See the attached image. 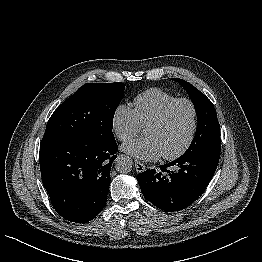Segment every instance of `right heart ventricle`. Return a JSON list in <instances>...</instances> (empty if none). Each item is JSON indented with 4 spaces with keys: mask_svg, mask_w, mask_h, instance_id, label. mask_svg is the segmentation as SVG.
I'll return each instance as SVG.
<instances>
[{
    "mask_svg": "<svg viewBox=\"0 0 262 262\" xmlns=\"http://www.w3.org/2000/svg\"><path fill=\"white\" fill-rule=\"evenodd\" d=\"M175 99L177 98L174 95L163 89L151 88L134 98L133 110L141 126H147L167 104Z\"/></svg>",
    "mask_w": 262,
    "mask_h": 262,
    "instance_id": "1",
    "label": "right heart ventricle"
}]
</instances>
